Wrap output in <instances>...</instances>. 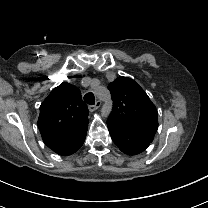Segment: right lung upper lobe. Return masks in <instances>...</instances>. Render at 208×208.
Wrapping results in <instances>:
<instances>
[{
  "mask_svg": "<svg viewBox=\"0 0 208 208\" xmlns=\"http://www.w3.org/2000/svg\"><path fill=\"white\" fill-rule=\"evenodd\" d=\"M81 92L69 83L54 88L40 106L38 128L45 144L66 139L88 126Z\"/></svg>",
  "mask_w": 208,
  "mask_h": 208,
  "instance_id": "1",
  "label": "right lung upper lobe"
}]
</instances>
